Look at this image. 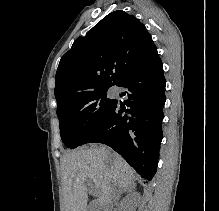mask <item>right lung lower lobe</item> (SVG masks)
<instances>
[{"label": "right lung lower lobe", "instance_id": "obj_1", "mask_svg": "<svg viewBox=\"0 0 219 211\" xmlns=\"http://www.w3.org/2000/svg\"><path fill=\"white\" fill-rule=\"evenodd\" d=\"M165 78L157 56L134 69L116 86L125 88L124 103H115L99 124L84 136L83 143H103L118 152L143 178L154 176L162 141Z\"/></svg>", "mask_w": 219, "mask_h": 211}]
</instances>
